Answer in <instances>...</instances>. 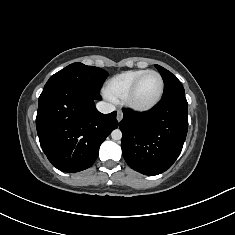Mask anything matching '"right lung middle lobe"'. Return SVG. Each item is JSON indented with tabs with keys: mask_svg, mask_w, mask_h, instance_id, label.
<instances>
[{
	"mask_svg": "<svg viewBox=\"0 0 235 235\" xmlns=\"http://www.w3.org/2000/svg\"><path fill=\"white\" fill-rule=\"evenodd\" d=\"M107 76V71L101 68L86 66L80 62H76L52 75L44 89L71 84L94 92H100L101 85Z\"/></svg>",
	"mask_w": 235,
	"mask_h": 235,
	"instance_id": "1",
	"label": "right lung middle lobe"
}]
</instances>
